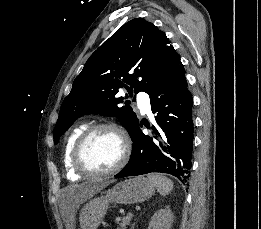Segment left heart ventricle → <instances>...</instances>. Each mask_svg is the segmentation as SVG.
Segmentation results:
<instances>
[{
  "instance_id": "left-heart-ventricle-1",
  "label": "left heart ventricle",
  "mask_w": 261,
  "mask_h": 229,
  "mask_svg": "<svg viewBox=\"0 0 261 229\" xmlns=\"http://www.w3.org/2000/svg\"><path fill=\"white\" fill-rule=\"evenodd\" d=\"M122 154L119 136L102 130L91 137L84 150V159L93 169L107 170L115 166Z\"/></svg>"
}]
</instances>
